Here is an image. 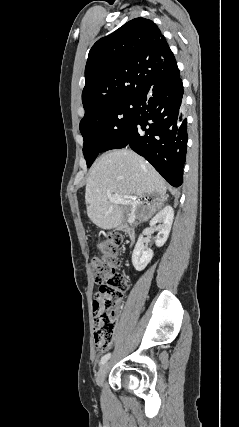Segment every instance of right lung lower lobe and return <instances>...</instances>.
Returning a JSON list of instances; mask_svg holds the SVG:
<instances>
[{
  "label": "right lung lower lobe",
  "instance_id": "1",
  "mask_svg": "<svg viewBox=\"0 0 239 427\" xmlns=\"http://www.w3.org/2000/svg\"><path fill=\"white\" fill-rule=\"evenodd\" d=\"M179 73L143 90L137 97L129 146L149 161L174 187L183 182L187 119Z\"/></svg>",
  "mask_w": 239,
  "mask_h": 427
}]
</instances>
